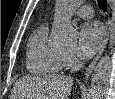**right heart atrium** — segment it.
Returning <instances> with one entry per match:
<instances>
[{
    "mask_svg": "<svg viewBox=\"0 0 115 99\" xmlns=\"http://www.w3.org/2000/svg\"><path fill=\"white\" fill-rule=\"evenodd\" d=\"M65 65L72 66L75 63V57L72 53H65Z\"/></svg>",
    "mask_w": 115,
    "mask_h": 99,
    "instance_id": "1",
    "label": "right heart atrium"
}]
</instances>
